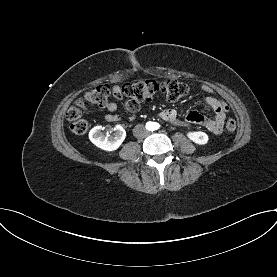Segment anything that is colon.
Returning <instances> with one entry per match:
<instances>
[{"instance_id":"5ec220e1","label":"colon","mask_w":277,"mask_h":277,"mask_svg":"<svg viewBox=\"0 0 277 277\" xmlns=\"http://www.w3.org/2000/svg\"><path fill=\"white\" fill-rule=\"evenodd\" d=\"M188 92V84L176 79L164 81L141 80L125 84L122 87L123 95L129 97L135 103L150 101L157 96H161L168 101H176L187 95ZM109 95V87L107 85H99L85 92L84 96L69 108L67 119L71 122L70 128L73 133L81 135L87 131L88 123L82 119L87 106L104 107L107 104ZM226 128L229 131H233L236 128L235 121L228 119Z\"/></svg>"}]
</instances>
